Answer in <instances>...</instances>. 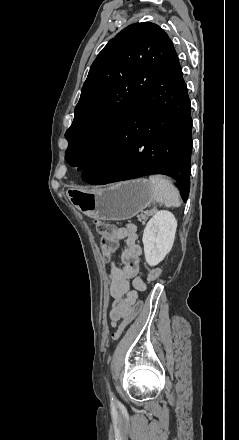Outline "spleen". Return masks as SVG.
Returning <instances> with one entry per match:
<instances>
[{
  "instance_id": "3e777b00",
  "label": "spleen",
  "mask_w": 239,
  "mask_h": 440,
  "mask_svg": "<svg viewBox=\"0 0 239 440\" xmlns=\"http://www.w3.org/2000/svg\"><path fill=\"white\" fill-rule=\"evenodd\" d=\"M149 180L154 188L153 198L155 202H163L166 208H179L180 194L179 190L166 180L165 176H149Z\"/></svg>"
}]
</instances>
